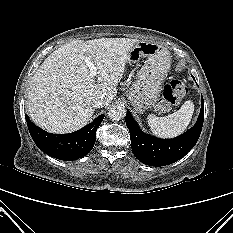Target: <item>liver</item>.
Wrapping results in <instances>:
<instances>
[{
    "label": "liver",
    "mask_w": 233,
    "mask_h": 233,
    "mask_svg": "<svg viewBox=\"0 0 233 233\" xmlns=\"http://www.w3.org/2000/svg\"><path fill=\"white\" fill-rule=\"evenodd\" d=\"M138 41L72 40L51 53L30 81L27 109L32 121L59 134L84 127L93 116L95 98L102 97L108 105L115 97L129 53ZM86 57L97 67L96 77L90 76Z\"/></svg>",
    "instance_id": "liver-1"
}]
</instances>
